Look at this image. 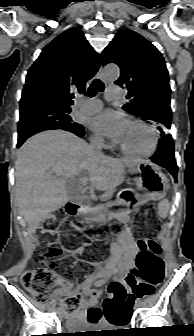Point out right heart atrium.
<instances>
[{
  "label": "right heart atrium",
  "instance_id": "right-heart-atrium-1",
  "mask_svg": "<svg viewBox=\"0 0 194 336\" xmlns=\"http://www.w3.org/2000/svg\"><path fill=\"white\" fill-rule=\"evenodd\" d=\"M91 142L94 144V145H98V146H105V142L104 140L99 137V136H92L91 137Z\"/></svg>",
  "mask_w": 194,
  "mask_h": 336
}]
</instances>
